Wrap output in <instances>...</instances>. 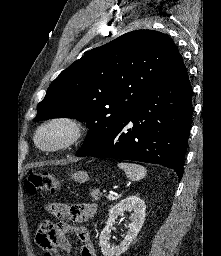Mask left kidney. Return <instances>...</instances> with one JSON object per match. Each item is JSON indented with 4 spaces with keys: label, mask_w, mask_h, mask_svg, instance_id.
Instances as JSON below:
<instances>
[{
    "label": "left kidney",
    "mask_w": 221,
    "mask_h": 256,
    "mask_svg": "<svg viewBox=\"0 0 221 256\" xmlns=\"http://www.w3.org/2000/svg\"><path fill=\"white\" fill-rule=\"evenodd\" d=\"M124 211L132 212L130 216V223L128 224V231L124 240L118 245H111L110 232L111 226L115 219L123 214ZM146 205L145 202L138 196L133 195L121 200L118 204L113 206L109 212V218L106 222L105 228L101 231L99 237V245L104 256H120L127 251L132 241L137 237L145 220Z\"/></svg>",
    "instance_id": "obj_1"
}]
</instances>
